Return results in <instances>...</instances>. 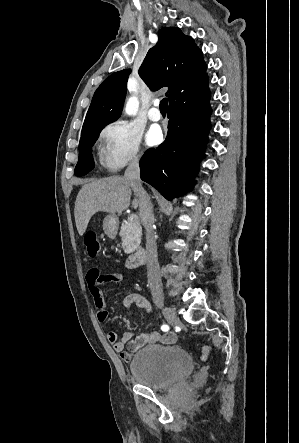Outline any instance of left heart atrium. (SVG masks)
Instances as JSON below:
<instances>
[{
    "label": "left heart atrium",
    "instance_id": "1",
    "mask_svg": "<svg viewBox=\"0 0 299 443\" xmlns=\"http://www.w3.org/2000/svg\"><path fill=\"white\" fill-rule=\"evenodd\" d=\"M162 137L161 130L158 126H152L146 133V144L153 146L160 142Z\"/></svg>",
    "mask_w": 299,
    "mask_h": 443
}]
</instances>
